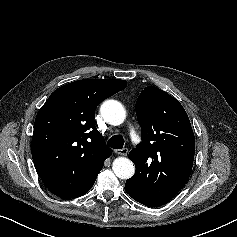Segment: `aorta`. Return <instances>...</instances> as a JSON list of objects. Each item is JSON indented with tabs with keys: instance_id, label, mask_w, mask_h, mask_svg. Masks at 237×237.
<instances>
[{
	"instance_id": "aorta-1",
	"label": "aorta",
	"mask_w": 237,
	"mask_h": 237,
	"mask_svg": "<svg viewBox=\"0 0 237 237\" xmlns=\"http://www.w3.org/2000/svg\"><path fill=\"white\" fill-rule=\"evenodd\" d=\"M100 112L107 123L115 126L123 123L126 116L123 105L116 100L103 102ZM112 169L115 175L120 179H129L135 173L134 164L125 157L116 158L113 162Z\"/></svg>"
}]
</instances>
